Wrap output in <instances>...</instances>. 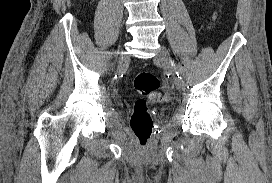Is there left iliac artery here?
Here are the masks:
<instances>
[{"instance_id": "44dca946", "label": "left iliac artery", "mask_w": 272, "mask_h": 183, "mask_svg": "<svg viewBox=\"0 0 272 183\" xmlns=\"http://www.w3.org/2000/svg\"><path fill=\"white\" fill-rule=\"evenodd\" d=\"M174 67H175V73H176L177 77L180 80L183 79L184 74H183L182 67L180 65H177V64H175Z\"/></svg>"}]
</instances>
